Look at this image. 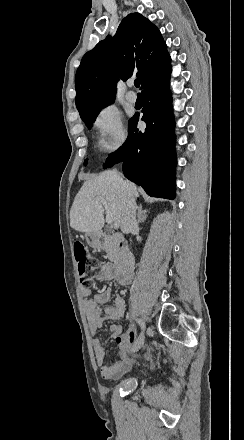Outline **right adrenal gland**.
<instances>
[{
	"instance_id": "2a0ac1e0",
	"label": "right adrenal gland",
	"mask_w": 244,
	"mask_h": 440,
	"mask_svg": "<svg viewBox=\"0 0 244 440\" xmlns=\"http://www.w3.org/2000/svg\"><path fill=\"white\" fill-rule=\"evenodd\" d=\"M136 210L138 212V214H137V218H138L137 222H138V224H141V216H146L147 210H142V204H140V206H136Z\"/></svg>"
}]
</instances>
